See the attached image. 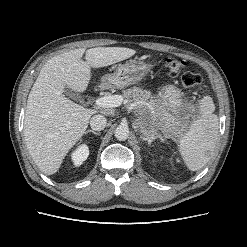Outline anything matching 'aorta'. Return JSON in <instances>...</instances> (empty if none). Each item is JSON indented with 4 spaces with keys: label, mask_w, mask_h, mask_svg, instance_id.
<instances>
[{
    "label": "aorta",
    "mask_w": 247,
    "mask_h": 247,
    "mask_svg": "<svg viewBox=\"0 0 247 247\" xmlns=\"http://www.w3.org/2000/svg\"><path fill=\"white\" fill-rule=\"evenodd\" d=\"M129 134H130L129 128L124 125H119L114 131V135L116 139L120 141L127 140L129 138Z\"/></svg>",
    "instance_id": "1"
}]
</instances>
